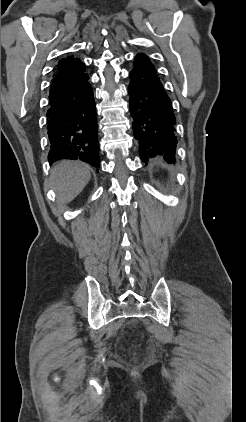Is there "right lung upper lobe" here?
Here are the masks:
<instances>
[{"label": "right lung upper lobe", "instance_id": "obj_1", "mask_svg": "<svg viewBox=\"0 0 246 422\" xmlns=\"http://www.w3.org/2000/svg\"><path fill=\"white\" fill-rule=\"evenodd\" d=\"M85 64L80 59L68 56L58 61L50 92L70 85L86 75Z\"/></svg>", "mask_w": 246, "mask_h": 422}]
</instances>
